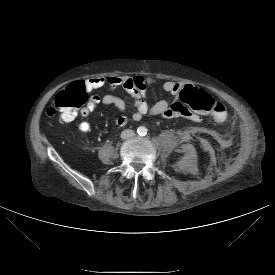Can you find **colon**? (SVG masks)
<instances>
[{"label": "colon", "mask_w": 275, "mask_h": 275, "mask_svg": "<svg viewBox=\"0 0 275 275\" xmlns=\"http://www.w3.org/2000/svg\"><path fill=\"white\" fill-rule=\"evenodd\" d=\"M180 100L196 115L209 114L217 122H224L227 119L226 105L202 89L185 87L180 92ZM87 102L83 84L74 83L56 95L53 104L47 107L46 115L50 118L59 116L68 121L73 119L79 110L82 112Z\"/></svg>", "instance_id": "colon-1"}]
</instances>
